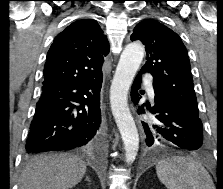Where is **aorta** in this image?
<instances>
[{
    "instance_id": "762f6f07",
    "label": "aorta",
    "mask_w": 223,
    "mask_h": 189,
    "mask_svg": "<svg viewBox=\"0 0 223 189\" xmlns=\"http://www.w3.org/2000/svg\"><path fill=\"white\" fill-rule=\"evenodd\" d=\"M143 57L141 44L134 42L126 45L110 88L111 110L123 140L128 164L135 160L139 149L138 130L128 107V91Z\"/></svg>"
}]
</instances>
